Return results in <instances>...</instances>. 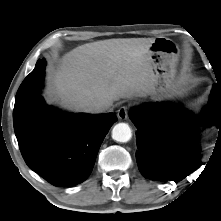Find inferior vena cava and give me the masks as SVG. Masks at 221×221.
Wrapping results in <instances>:
<instances>
[{"mask_svg":"<svg viewBox=\"0 0 221 221\" xmlns=\"http://www.w3.org/2000/svg\"><path fill=\"white\" fill-rule=\"evenodd\" d=\"M110 107V104L105 101H98L90 103L85 107V112L88 113H102Z\"/></svg>","mask_w":221,"mask_h":221,"instance_id":"obj_1","label":"inferior vena cava"}]
</instances>
